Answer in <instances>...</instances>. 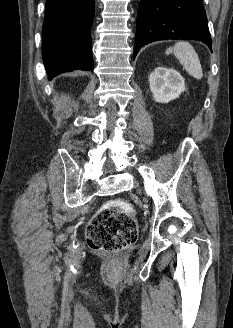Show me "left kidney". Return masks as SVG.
<instances>
[{
    "label": "left kidney",
    "instance_id": "obj_1",
    "mask_svg": "<svg viewBox=\"0 0 233 328\" xmlns=\"http://www.w3.org/2000/svg\"><path fill=\"white\" fill-rule=\"evenodd\" d=\"M153 99L158 103H168L185 91V81L175 69L157 67L149 76Z\"/></svg>",
    "mask_w": 233,
    "mask_h": 328
}]
</instances>
